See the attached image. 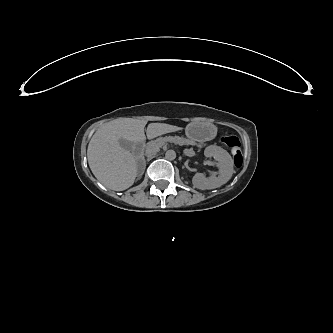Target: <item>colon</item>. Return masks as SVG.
Here are the masks:
<instances>
[{"label": "colon", "mask_w": 333, "mask_h": 333, "mask_svg": "<svg viewBox=\"0 0 333 333\" xmlns=\"http://www.w3.org/2000/svg\"><path fill=\"white\" fill-rule=\"evenodd\" d=\"M221 142L231 150L234 164L237 168H240L243 163V156L239 139L235 136H225L221 138Z\"/></svg>", "instance_id": "obj_1"}]
</instances>
